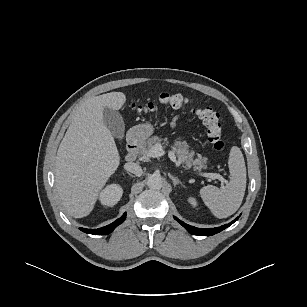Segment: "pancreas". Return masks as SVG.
Segmentation results:
<instances>
[{
  "label": "pancreas",
  "instance_id": "1",
  "mask_svg": "<svg viewBox=\"0 0 307 307\" xmlns=\"http://www.w3.org/2000/svg\"><path fill=\"white\" fill-rule=\"evenodd\" d=\"M162 138L153 136L147 139L140 147L138 151V157L140 161L149 160V151L155 144H160ZM166 141V140H165ZM172 152L178 157L181 163L186 166H193L197 170L206 168L207 158L198 155V158L194 159L195 152L189 151V145L185 141H176L172 146Z\"/></svg>",
  "mask_w": 307,
  "mask_h": 307
}]
</instances>
